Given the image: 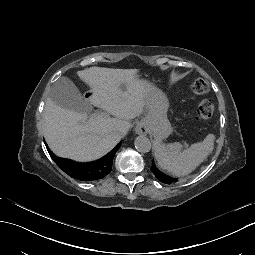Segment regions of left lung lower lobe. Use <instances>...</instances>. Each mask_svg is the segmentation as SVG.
I'll list each match as a JSON object with an SVG mask.
<instances>
[{
  "label": "left lung lower lobe",
  "instance_id": "1",
  "mask_svg": "<svg viewBox=\"0 0 255 255\" xmlns=\"http://www.w3.org/2000/svg\"><path fill=\"white\" fill-rule=\"evenodd\" d=\"M148 170L150 171L153 177H155L157 180H161L162 183H165L167 185H172L174 183L173 178L167 177V174L165 173H159L158 170L153 165H150L148 167Z\"/></svg>",
  "mask_w": 255,
  "mask_h": 255
}]
</instances>
